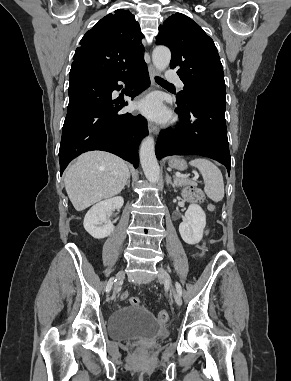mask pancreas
Listing matches in <instances>:
<instances>
[{
    "mask_svg": "<svg viewBox=\"0 0 291 381\" xmlns=\"http://www.w3.org/2000/svg\"><path fill=\"white\" fill-rule=\"evenodd\" d=\"M174 181H175V183L177 184V185H179V186H183V185H189V186H193V187H195L197 184H196V182L195 181H191V180H189V179H187V178H175L174 179Z\"/></svg>",
    "mask_w": 291,
    "mask_h": 381,
    "instance_id": "pancreas-1",
    "label": "pancreas"
}]
</instances>
